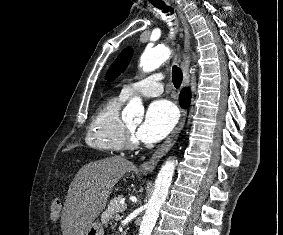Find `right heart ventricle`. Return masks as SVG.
<instances>
[{"label": "right heart ventricle", "mask_w": 283, "mask_h": 235, "mask_svg": "<svg viewBox=\"0 0 283 235\" xmlns=\"http://www.w3.org/2000/svg\"><path fill=\"white\" fill-rule=\"evenodd\" d=\"M125 98L119 96L105 100L94 112L87 129L85 142L88 147L105 152L122 151L123 121L120 109Z\"/></svg>", "instance_id": "1"}]
</instances>
